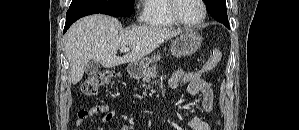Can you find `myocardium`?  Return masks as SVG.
<instances>
[{"label":"myocardium","mask_w":299,"mask_h":130,"mask_svg":"<svg viewBox=\"0 0 299 130\" xmlns=\"http://www.w3.org/2000/svg\"><path fill=\"white\" fill-rule=\"evenodd\" d=\"M177 1L178 0H169L170 15L177 24L187 27V28H195V27L200 26L205 21L206 16H207V7H206L204 0H198L201 5V8H202V15H201L200 19L195 22H187L179 17L177 10H176V2Z\"/></svg>","instance_id":"f54148a6"}]
</instances>
